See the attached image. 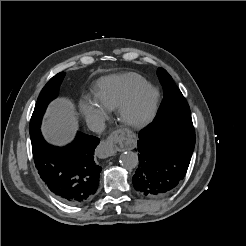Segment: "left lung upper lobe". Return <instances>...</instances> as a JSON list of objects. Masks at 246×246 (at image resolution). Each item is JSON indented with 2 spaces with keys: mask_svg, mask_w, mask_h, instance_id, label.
Instances as JSON below:
<instances>
[{
  "mask_svg": "<svg viewBox=\"0 0 246 246\" xmlns=\"http://www.w3.org/2000/svg\"><path fill=\"white\" fill-rule=\"evenodd\" d=\"M157 74L163 87L164 98L155 120H191L189 105L172 77L163 68H159Z\"/></svg>",
  "mask_w": 246,
  "mask_h": 246,
  "instance_id": "obj_1",
  "label": "left lung upper lobe"
}]
</instances>
